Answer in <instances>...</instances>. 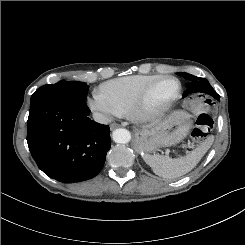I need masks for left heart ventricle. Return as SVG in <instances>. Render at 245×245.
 <instances>
[{
    "label": "left heart ventricle",
    "instance_id": "b2bd125f",
    "mask_svg": "<svg viewBox=\"0 0 245 245\" xmlns=\"http://www.w3.org/2000/svg\"><path fill=\"white\" fill-rule=\"evenodd\" d=\"M177 90V82L173 80L162 83L152 97V105L159 106L168 101Z\"/></svg>",
    "mask_w": 245,
    "mask_h": 245
}]
</instances>
